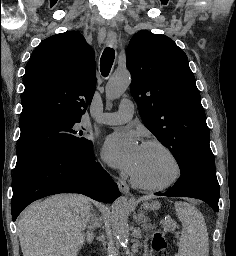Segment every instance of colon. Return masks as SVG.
<instances>
[{"label":"colon","mask_w":236,"mask_h":256,"mask_svg":"<svg viewBox=\"0 0 236 256\" xmlns=\"http://www.w3.org/2000/svg\"><path fill=\"white\" fill-rule=\"evenodd\" d=\"M152 256H166V239L164 231L157 230L151 242Z\"/></svg>","instance_id":"5ec220e1"}]
</instances>
